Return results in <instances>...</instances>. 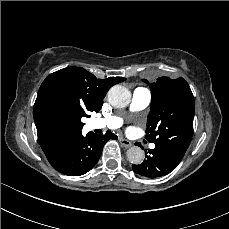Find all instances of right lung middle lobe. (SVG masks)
Instances as JSON below:
<instances>
[{"label": "right lung middle lobe", "mask_w": 229, "mask_h": 229, "mask_svg": "<svg viewBox=\"0 0 229 229\" xmlns=\"http://www.w3.org/2000/svg\"><path fill=\"white\" fill-rule=\"evenodd\" d=\"M43 117L53 130L69 132L81 129V118L89 116L70 98L54 96L45 103Z\"/></svg>", "instance_id": "1"}]
</instances>
